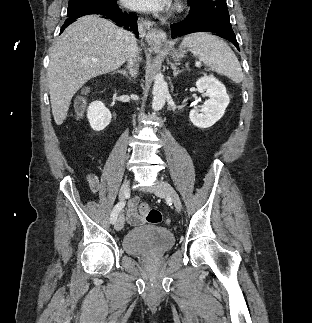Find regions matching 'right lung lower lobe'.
<instances>
[{"mask_svg": "<svg viewBox=\"0 0 312 323\" xmlns=\"http://www.w3.org/2000/svg\"><path fill=\"white\" fill-rule=\"evenodd\" d=\"M89 14H100L106 19L113 20L117 25L124 27L128 30H132L136 35H138L137 30V15L135 13H122L118 6L115 7H95L88 8L83 11L73 12L67 15L65 24L61 27V32L71 23H73L76 18L89 15Z\"/></svg>", "mask_w": 312, "mask_h": 323, "instance_id": "98d812e1", "label": "right lung lower lobe"}]
</instances>
